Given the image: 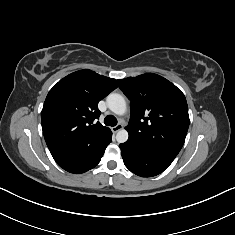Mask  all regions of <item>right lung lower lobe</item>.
I'll return each instance as SVG.
<instances>
[{"label": "right lung lower lobe", "mask_w": 235, "mask_h": 235, "mask_svg": "<svg viewBox=\"0 0 235 235\" xmlns=\"http://www.w3.org/2000/svg\"><path fill=\"white\" fill-rule=\"evenodd\" d=\"M111 138L112 133L98 147L81 150L70 158L56 160V162L70 173H84L100 162L107 145L112 141Z\"/></svg>", "instance_id": "right-lung-lower-lobe-1"}]
</instances>
